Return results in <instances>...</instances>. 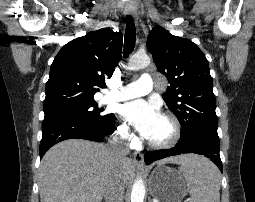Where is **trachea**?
<instances>
[{"instance_id":"1","label":"trachea","mask_w":255,"mask_h":202,"mask_svg":"<svg viewBox=\"0 0 255 202\" xmlns=\"http://www.w3.org/2000/svg\"><path fill=\"white\" fill-rule=\"evenodd\" d=\"M136 42V29L135 24L131 16H127V24L124 38V58L133 51Z\"/></svg>"}]
</instances>
